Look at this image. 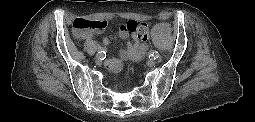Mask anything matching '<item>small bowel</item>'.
<instances>
[{
  "mask_svg": "<svg viewBox=\"0 0 255 122\" xmlns=\"http://www.w3.org/2000/svg\"><path fill=\"white\" fill-rule=\"evenodd\" d=\"M99 32L98 31H88L84 34L82 38H95ZM130 32L126 30L125 26L122 25L120 30H119V36L123 39L127 38L129 36ZM132 42H129L124 49H122L119 52V58L118 59H110L107 62V67L111 70H118L122 67V64L125 60L131 59L133 61H138L140 60L143 55L145 54L148 44H147V39L148 36L144 39L141 40L138 37V34L136 32L132 33ZM103 44L108 45L109 44V39L105 37L103 39Z\"/></svg>",
  "mask_w": 255,
  "mask_h": 122,
  "instance_id": "1",
  "label": "small bowel"
}]
</instances>
